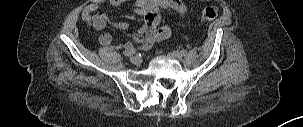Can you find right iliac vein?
Returning <instances> with one entry per match:
<instances>
[{"instance_id": "63e3f726", "label": "right iliac vein", "mask_w": 303, "mask_h": 127, "mask_svg": "<svg viewBox=\"0 0 303 127\" xmlns=\"http://www.w3.org/2000/svg\"><path fill=\"white\" fill-rule=\"evenodd\" d=\"M130 62L135 65H140L142 60L139 56H132V57H130Z\"/></svg>"}]
</instances>
